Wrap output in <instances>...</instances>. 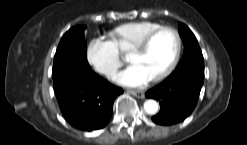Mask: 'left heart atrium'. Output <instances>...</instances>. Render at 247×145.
Returning <instances> with one entry per match:
<instances>
[{"label": "left heart atrium", "instance_id": "39dd6f15", "mask_svg": "<svg viewBox=\"0 0 247 145\" xmlns=\"http://www.w3.org/2000/svg\"><path fill=\"white\" fill-rule=\"evenodd\" d=\"M116 81L125 86H141L151 80V77L139 66L132 64L125 70L119 72Z\"/></svg>", "mask_w": 247, "mask_h": 145}]
</instances>
